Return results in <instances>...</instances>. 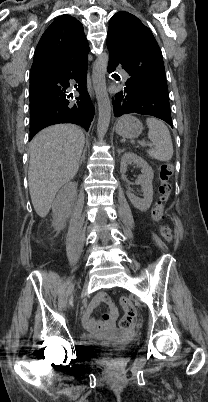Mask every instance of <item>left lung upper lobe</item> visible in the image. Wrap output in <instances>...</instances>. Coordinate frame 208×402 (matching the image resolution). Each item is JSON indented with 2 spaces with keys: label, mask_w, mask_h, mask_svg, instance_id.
I'll return each mask as SVG.
<instances>
[{
  "label": "left lung upper lobe",
  "mask_w": 208,
  "mask_h": 402,
  "mask_svg": "<svg viewBox=\"0 0 208 402\" xmlns=\"http://www.w3.org/2000/svg\"><path fill=\"white\" fill-rule=\"evenodd\" d=\"M107 41L127 55L128 74L169 99L162 52L150 29L128 12H118L110 19Z\"/></svg>",
  "instance_id": "left-lung-upper-lobe-1"
}]
</instances>
